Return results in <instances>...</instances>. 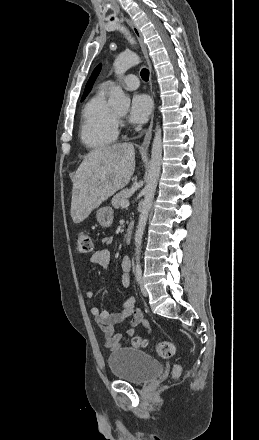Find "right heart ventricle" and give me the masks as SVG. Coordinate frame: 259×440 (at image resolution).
Here are the masks:
<instances>
[{
    "label": "right heart ventricle",
    "instance_id": "e07e8e85",
    "mask_svg": "<svg viewBox=\"0 0 259 440\" xmlns=\"http://www.w3.org/2000/svg\"><path fill=\"white\" fill-rule=\"evenodd\" d=\"M119 135L118 118L100 89L85 104L80 125L81 142L89 150H102L113 145Z\"/></svg>",
    "mask_w": 259,
    "mask_h": 440
}]
</instances>
